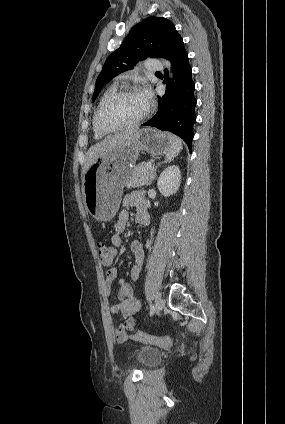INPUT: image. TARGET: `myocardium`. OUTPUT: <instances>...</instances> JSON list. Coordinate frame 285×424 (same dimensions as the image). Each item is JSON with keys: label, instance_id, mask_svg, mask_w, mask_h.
I'll list each match as a JSON object with an SVG mask.
<instances>
[{"label": "myocardium", "instance_id": "obj_1", "mask_svg": "<svg viewBox=\"0 0 285 424\" xmlns=\"http://www.w3.org/2000/svg\"><path fill=\"white\" fill-rule=\"evenodd\" d=\"M136 93H139L136 88L128 87V88H123V89L117 90L116 92L111 94L109 97H107L104 100V102L100 105V107L98 108L96 115H95V125L98 128V130L101 131V132H104V133H110V132H114V131H121V130L129 129V128L135 127V126L139 125L140 123H142L148 117V115L150 113L149 108H147L146 112L143 115H141L139 118H137L136 120H134L132 122L110 126V125L103 124L102 121H101L102 113L108 105H110L112 102H114L115 100H117V99H119L123 96L130 95V94H136Z\"/></svg>", "mask_w": 285, "mask_h": 424}]
</instances>
